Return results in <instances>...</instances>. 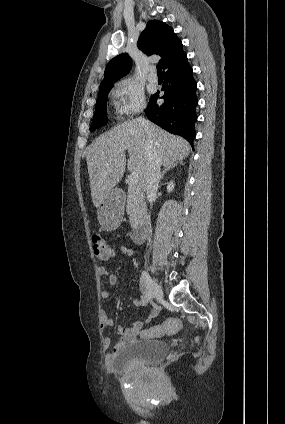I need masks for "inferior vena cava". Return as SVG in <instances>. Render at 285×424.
<instances>
[{
	"label": "inferior vena cava",
	"mask_w": 285,
	"mask_h": 424,
	"mask_svg": "<svg viewBox=\"0 0 285 424\" xmlns=\"http://www.w3.org/2000/svg\"><path fill=\"white\" fill-rule=\"evenodd\" d=\"M137 121L145 128L147 132V160H148V173L146 178V194L147 199L152 206L153 200L156 197L158 185L161 179L160 165L161 161L158 156L154 141L152 140L149 132V124L145 118L139 117Z\"/></svg>",
	"instance_id": "1"
}]
</instances>
